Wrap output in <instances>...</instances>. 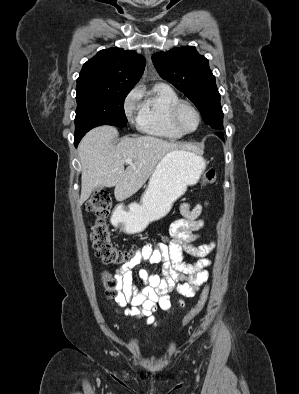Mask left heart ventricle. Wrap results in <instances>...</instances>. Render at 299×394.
<instances>
[{
    "label": "left heart ventricle",
    "instance_id": "left-heart-ventricle-1",
    "mask_svg": "<svg viewBox=\"0 0 299 394\" xmlns=\"http://www.w3.org/2000/svg\"><path fill=\"white\" fill-rule=\"evenodd\" d=\"M180 123L186 130H193L197 126V116L188 107H184L180 113Z\"/></svg>",
    "mask_w": 299,
    "mask_h": 394
}]
</instances>
